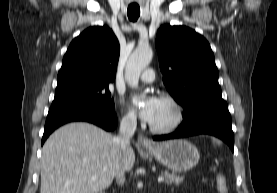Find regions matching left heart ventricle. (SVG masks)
<instances>
[{
  "label": "left heart ventricle",
  "mask_w": 277,
  "mask_h": 193,
  "mask_svg": "<svg viewBox=\"0 0 277 193\" xmlns=\"http://www.w3.org/2000/svg\"><path fill=\"white\" fill-rule=\"evenodd\" d=\"M174 108L166 101L160 100L155 116L150 124L158 127L170 124L174 119Z\"/></svg>",
  "instance_id": "left-heart-ventricle-1"
}]
</instances>
